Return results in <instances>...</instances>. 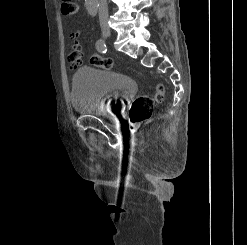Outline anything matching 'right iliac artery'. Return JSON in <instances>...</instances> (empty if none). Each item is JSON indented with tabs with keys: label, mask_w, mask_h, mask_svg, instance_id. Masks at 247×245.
<instances>
[{
	"label": "right iliac artery",
	"mask_w": 247,
	"mask_h": 245,
	"mask_svg": "<svg viewBox=\"0 0 247 245\" xmlns=\"http://www.w3.org/2000/svg\"><path fill=\"white\" fill-rule=\"evenodd\" d=\"M96 49L100 52V53H106L107 51V46L106 43L104 42V40L99 39L96 42Z\"/></svg>",
	"instance_id": "right-iliac-artery-1"
}]
</instances>
